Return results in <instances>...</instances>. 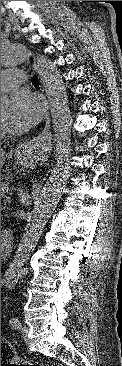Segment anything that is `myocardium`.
<instances>
[{
    "mask_svg": "<svg viewBox=\"0 0 122 366\" xmlns=\"http://www.w3.org/2000/svg\"><path fill=\"white\" fill-rule=\"evenodd\" d=\"M6 134L7 133L3 129H1V137L5 136Z\"/></svg>",
    "mask_w": 122,
    "mask_h": 366,
    "instance_id": "1",
    "label": "myocardium"
}]
</instances>
